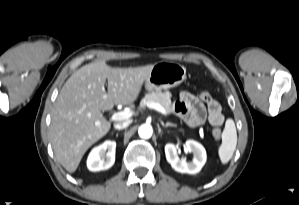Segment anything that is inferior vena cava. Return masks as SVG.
<instances>
[{"label":"inferior vena cava","instance_id":"inferior-vena-cava-1","mask_svg":"<svg viewBox=\"0 0 299 205\" xmlns=\"http://www.w3.org/2000/svg\"><path fill=\"white\" fill-rule=\"evenodd\" d=\"M130 123H131L130 120L120 122V123H116V124H114V128L117 129V130H121V129L126 128Z\"/></svg>","mask_w":299,"mask_h":205}]
</instances>
